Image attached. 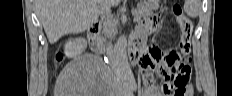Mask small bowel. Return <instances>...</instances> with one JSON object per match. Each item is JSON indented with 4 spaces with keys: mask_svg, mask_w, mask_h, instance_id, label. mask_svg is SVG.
<instances>
[{
    "mask_svg": "<svg viewBox=\"0 0 232 96\" xmlns=\"http://www.w3.org/2000/svg\"><path fill=\"white\" fill-rule=\"evenodd\" d=\"M164 11H148V19L144 25H139V30H131V35H137L136 38H130V43H135L140 45L141 43H153V38H146L148 35H158L159 32H167L171 35L176 32V26L169 22L167 25L169 27H163L164 24ZM163 52L155 48L150 51L144 52L140 56L141 60V73L143 82L146 87L147 95H152L151 86L153 83V72L157 70L163 76V70L165 66L161 64V59L164 58ZM190 66V65H189ZM191 88V85L189 84ZM173 93L168 89L165 82L161 85L160 95L161 96H171Z\"/></svg>",
    "mask_w": 232,
    "mask_h": 96,
    "instance_id": "small-bowel-1",
    "label": "small bowel"
}]
</instances>
